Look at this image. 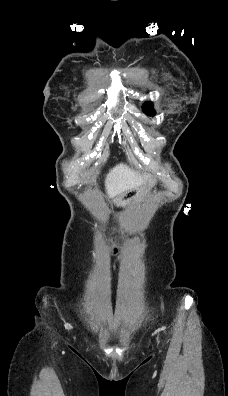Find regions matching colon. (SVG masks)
I'll return each mask as SVG.
<instances>
[{"label":"colon","instance_id":"1","mask_svg":"<svg viewBox=\"0 0 228 396\" xmlns=\"http://www.w3.org/2000/svg\"><path fill=\"white\" fill-rule=\"evenodd\" d=\"M122 242H123V238H120V243H122ZM115 249H117V247Z\"/></svg>","mask_w":228,"mask_h":396}]
</instances>
